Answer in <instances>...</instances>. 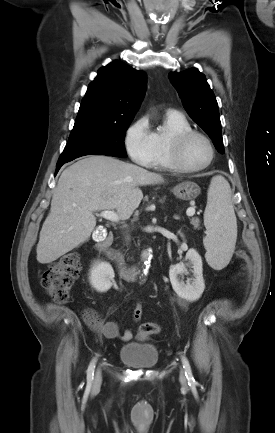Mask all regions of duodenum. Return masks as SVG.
<instances>
[{
    "label": "duodenum",
    "instance_id": "1",
    "mask_svg": "<svg viewBox=\"0 0 275 433\" xmlns=\"http://www.w3.org/2000/svg\"><path fill=\"white\" fill-rule=\"evenodd\" d=\"M113 239L112 234L99 235L96 239V248L111 260L117 268L120 277L126 281H135L140 276V270L137 265H130L125 262L120 254L111 248Z\"/></svg>",
    "mask_w": 275,
    "mask_h": 433
}]
</instances>
